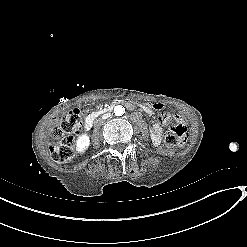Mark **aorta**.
Returning a JSON list of instances; mask_svg holds the SVG:
<instances>
[{
	"label": "aorta",
	"instance_id": "1",
	"mask_svg": "<svg viewBox=\"0 0 247 247\" xmlns=\"http://www.w3.org/2000/svg\"><path fill=\"white\" fill-rule=\"evenodd\" d=\"M114 113L117 116H122L125 113V108L121 105H118L114 108Z\"/></svg>",
	"mask_w": 247,
	"mask_h": 247
}]
</instances>
